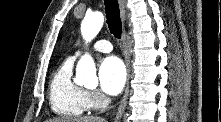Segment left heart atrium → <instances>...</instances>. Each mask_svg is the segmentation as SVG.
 I'll return each mask as SVG.
<instances>
[{"instance_id": "left-heart-atrium-1", "label": "left heart atrium", "mask_w": 221, "mask_h": 122, "mask_svg": "<svg viewBox=\"0 0 221 122\" xmlns=\"http://www.w3.org/2000/svg\"><path fill=\"white\" fill-rule=\"evenodd\" d=\"M98 76L101 90L107 95H116L125 84L126 69L118 57L109 56L100 63Z\"/></svg>"}]
</instances>
